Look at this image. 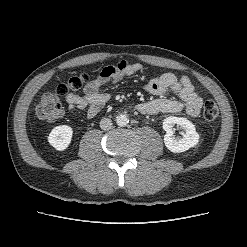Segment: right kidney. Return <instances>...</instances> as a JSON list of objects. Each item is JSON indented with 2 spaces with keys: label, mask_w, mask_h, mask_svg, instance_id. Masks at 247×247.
I'll return each instance as SVG.
<instances>
[{
  "label": "right kidney",
  "mask_w": 247,
  "mask_h": 247,
  "mask_svg": "<svg viewBox=\"0 0 247 247\" xmlns=\"http://www.w3.org/2000/svg\"><path fill=\"white\" fill-rule=\"evenodd\" d=\"M73 129L70 126L62 125L52 129L48 136V142L58 151L68 148L71 143Z\"/></svg>",
  "instance_id": "obj_1"
}]
</instances>
